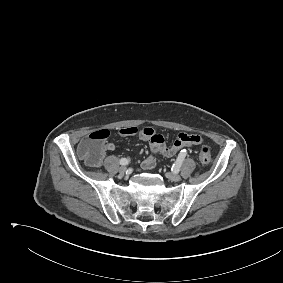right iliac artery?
Listing matches in <instances>:
<instances>
[{
    "instance_id": "1",
    "label": "right iliac artery",
    "mask_w": 283,
    "mask_h": 283,
    "mask_svg": "<svg viewBox=\"0 0 283 283\" xmlns=\"http://www.w3.org/2000/svg\"><path fill=\"white\" fill-rule=\"evenodd\" d=\"M129 163V159H127V158H121L120 159V164L121 165H127Z\"/></svg>"
}]
</instances>
